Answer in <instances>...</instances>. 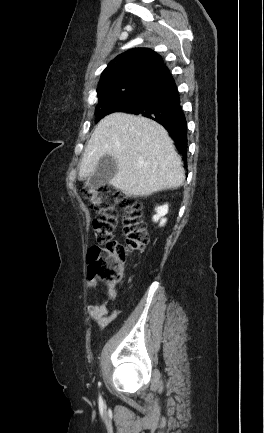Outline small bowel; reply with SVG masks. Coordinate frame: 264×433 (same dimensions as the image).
Returning <instances> with one entry per match:
<instances>
[{
  "label": "small bowel",
  "instance_id": "c3829d8e",
  "mask_svg": "<svg viewBox=\"0 0 264 433\" xmlns=\"http://www.w3.org/2000/svg\"><path fill=\"white\" fill-rule=\"evenodd\" d=\"M87 285L91 289L97 288V283L94 278H89ZM115 299V294L111 293L108 301L105 302H93L88 306V314L92 320H94L101 328L107 327L119 314L120 309L109 308V302Z\"/></svg>",
  "mask_w": 264,
  "mask_h": 433
}]
</instances>
